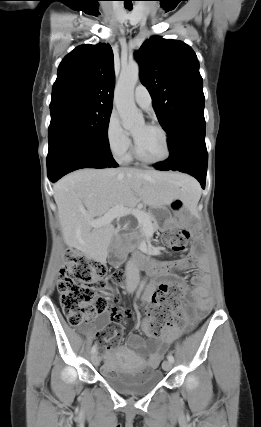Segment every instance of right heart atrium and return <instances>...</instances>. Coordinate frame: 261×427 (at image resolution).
<instances>
[{"label":"right heart atrium","mask_w":261,"mask_h":427,"mask_svg":"<svg viewBox=\"0 0 261 427\" xmlns=\"http://www.w3.org/2000/svg\"><path fill=\"white\" fill-rule=\"evenodd\" d=\"M105 138L109 151L117 160L126 161L129 158L131 139L115 113H111L107 120Z\"/></svg>","instance_id":"1"}]
</instances>
